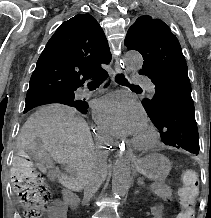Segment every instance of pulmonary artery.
<instances>
[{"label":"pulmonary artery","mask_w":211,"mask_h":218,"mask_svg":"<svg viewBox=\"0 0 211 218\" xmlns=\"http://www.w3.org/2000/svg\"><path fill=\"white\" fill-rule=\"evenodd\" d=\"M132 80H134V85H142V88L146 91L147 95H158L156 84H151L150 80H146V75H132ZM95 95L94 91L82 90L80 92L81 97H91Z\"/></svg>","instance_id":"obj_1"}]
</instances>
